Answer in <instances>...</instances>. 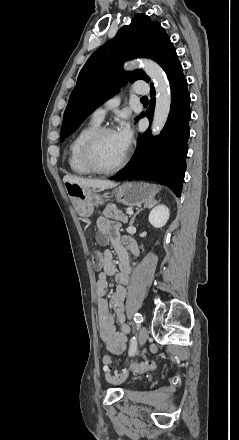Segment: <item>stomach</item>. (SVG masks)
<instances>
[{
    "instance_id": "0dacf381",
    "label": "stomach",
    "mask_w": 239,
    "mask_h": 440,
    "mask_svg": "<svg viewBox=\"0 0 239 440\" xmlns=\"http://www.w3.org/2000/svg\"><path fill=\"white\" fill-rule=\"evenodd\" d=\"M67 194L72 200L76 214L82 218H89L94 212V206L104 204L100 196L94 194L90 188H80L78 184H68ZM160 188L155 184H145V182H125L116 190L118 202L124 206H141V204H150Z\"/></svg>"
}]
</instances>
